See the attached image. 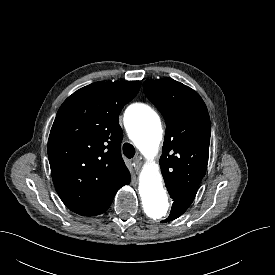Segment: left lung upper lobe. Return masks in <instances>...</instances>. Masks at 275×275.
Segmentation results:
<instances>
[{
  "label": "left lung upper lobe",
  "instance_id": "1",
  "mask_svg": "<svg viewBox=\"0 0 275 275\" xmlns=\"http://www.w3.org/2000/svg\"><path fill=\"white\" fill-rule=\"evenodd\" d=\"M143 88L166 121L160 166L167 189L197 193L207 169L211 133L204 101L171 78L146 80Z\"/></svg>",
  "mask_w": 275,
  "mask_h": 275
}]
</instances>
